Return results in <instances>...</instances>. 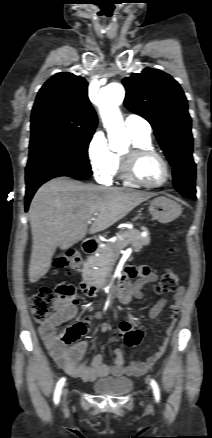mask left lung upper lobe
Returning <instances> with one entry per match:
<instances>
[{
  "label": "left lung upper lobe",
  "mask_w": 212,
  "mask_h": 438,
  "mask_svg": "<svg viewBox=\"0 0 212 438\" xmlns=\"http://www.w3.org/2000/svg\"><path fill=\"white\" fill-rule=\"evenodd\" d=\"M122 82L127 91L124 105L152 125L171 165L192 154L191 117L178 82L169 74L151 68L126 77Z\"/></svg>",
  "instance_id": "1"
}]
</instances>
